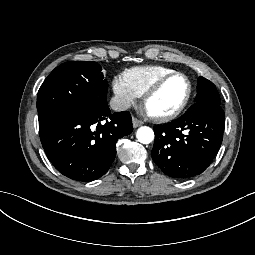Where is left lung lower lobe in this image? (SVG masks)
I'll use <instances>...</instances> for the list:
<instances>
[{
	"mask_svg": "<svg viewBox=\"0 0 255 255\" xmlns=\"http://www.w3.org/2000/svg\"><path fill=\"white\" fill-rule=\"evenodd\" d=\"M224 126L220 105L198 101L180 118L154 127L152 159L172 178L195 177L210 166L218 152Z\"/></svg>",
	"mask_w": 255,
	"mask_h": 255,
	"instance_id": "left-lung-lower-lobe-1",
	"label": "left lung lower lobe"
}]
</instances>
